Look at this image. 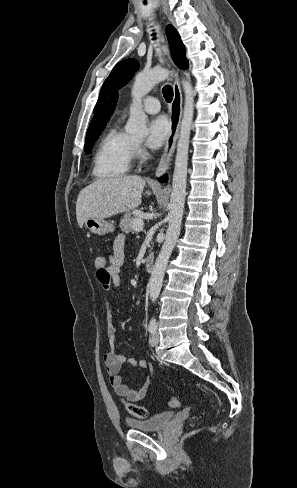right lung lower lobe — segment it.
Returning <instances> with one entry per match:
<instances>
[{"instance_id": "1", "label": "right lung lower lobe", "mask_w": 297, "mask_h": 488, "mask_svg": "<svg viewBox=\"0 0 297 488\" xmlns=\"http://www.w3.org/2000/svg\"><path fill=\"white\" fill-rule=\"evenodd\" d=\"M161 182H165L167 180V178L164 176L162 178L159 179Z\"/></svg>"}]
</instances>
